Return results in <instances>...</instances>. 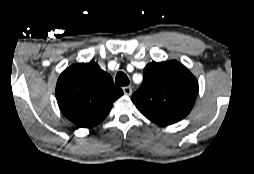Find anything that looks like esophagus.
Listing matches in <instances>:
<instances>
[{
    "label": "esophagus",
    "mask_w": 254,
    "mask_h": 174,
    "mask_svg": "<svg viewBox=\"0 0 254 174\" xmlns=\"http://www.w3.org/2000/svg\"><path fill=\"white\" fill-rule=\"evenodd\" d=\"M122 89L126 96H130L132 94V88L130 86H125Z\"/></svg>",
    "instance_id": "esophagus-1"
}]
</instances>
